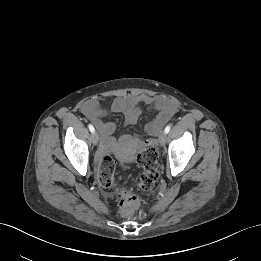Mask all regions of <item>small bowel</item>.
<instances>
[{"mask_svg": "<svg viewBox=\"0 0 261 261\" xmlns=\"http://www.w3.org/2000/svg\"><path fill=\"white\" fill-rule=\"evenodd\" d=\"M141 105H146L158 111V115L152 124L148 126L151 134H156L177 111V104L166 97L150 96L147 94H129L114 98L108 107H103L99 99H89L82 105V113L95 125L101 136L106 140L103 151L110 145L109 137L116 127L113 122L105 121L104 117L109 113H119L124 116L126 124H135L141 115Z\"/></svg>", "mask_w": 261, "mask_h": 261, "instance_id": "1", "label": "small bowel"}]
</instances>
